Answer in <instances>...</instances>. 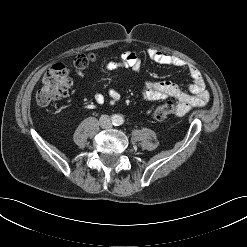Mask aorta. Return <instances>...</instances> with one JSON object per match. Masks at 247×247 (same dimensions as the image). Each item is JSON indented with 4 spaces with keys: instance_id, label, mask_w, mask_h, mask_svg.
Returning a JSON list of instances; mask_svg holds the SVG:
<instances>
[{
    "instance_id": "762f6f07",
    "label": "aorta",
    "mask_w": 247,
    "mask_h": 247,
    "mask_svg": "<svg viewBox=\"0 0 247 247\" xmlns=\"http://www.w3.org/2000/svg\"><path fill=\"white\" fill-rule=\"evenodd\" d=\"M120 120L123 122V119H122L121 117H120ZM122 122H121V123H122Z\"/></svg>"
}]
</instances>
